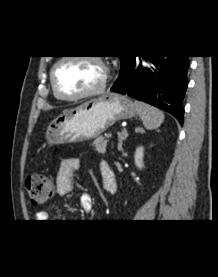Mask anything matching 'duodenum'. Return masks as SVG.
<instances>
[{
    "label": "duodenum",
    "mask_w": 218,
    "mask_h": 277,
    "mask_svg": "<svg viewBox=\"0 0 218 277\" xmlns=\"http://www.w3.org/2000/svg\"><path fill=\"white\" fill-rule=\"evenodd\" d=\"M101 168V174H102V177H103V180H104V183L107 184V185H114V188L113 190L111 191H107L109 193H113L116 189V183H115V178H114V175L111 174V169L110 167L107 165V164H102L100 166Z\"/></svg>",
    "instance_id": "410a0bca"
}]
</instances>
